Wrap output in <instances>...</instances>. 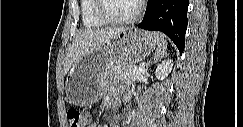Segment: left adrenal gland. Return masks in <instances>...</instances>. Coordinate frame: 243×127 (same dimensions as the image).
<instances>
[{
    "label": "left adrenal gland",
    "instance_id": "1",
    "mask_svg": "<svg viewBox=\"0 0 243 127\" xmlns=\"http://www.w3.org/2000/svg\"><path fill=\"white\" fill-rule=\"evenodd\" d=\"M149 64H150V62L146 65V71H147V69H148Z\"/></svg>",
    "mask_w": 243,
    "mask_h": 127
}]
</instances>
